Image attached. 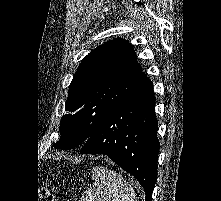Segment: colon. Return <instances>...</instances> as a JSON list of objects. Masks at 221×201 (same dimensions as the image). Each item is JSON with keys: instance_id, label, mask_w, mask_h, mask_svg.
<instances>
[{"instance_id": "obj_1", "label": "colon", "mask_w": 221, "mask_h": 201, "mask_svg": "<svg viewBox=\"0 0 221 201\" xmlns=\"http://www.w3.org/2000/svg\"><path fill=\"white\" fill-rule=\"evenodd\" d=\"M41 196L44 199V201H62L61 199H59L54 190L44 186L41 190Z\"/></svg>"}]
</instances>
